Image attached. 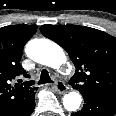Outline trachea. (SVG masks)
I'll use <instances>...</instances> for the list:
<instances>
[{"instance_id":"3493384b","label":"trachea","mask_w":116,"mask_h":116,"mask_svg":"<svg viewBox=\"0 0 116 116\" xmlns=\"http://www.w3.org/2000/svg\"><path fill=\"white\" fill-rule=\"evenodd\" d=\"M52 79L49 76V73L46 69H43L41 72L40 79L38 81V84H45V83H52Z\"/></svg>"}]
</instances>
